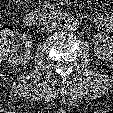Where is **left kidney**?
Returning <instances> with one entry per match:
<instances>
[{
    "instance_id": "5707ae66",
    "label": "left kidney",
    "mask_w": 113,
    "mask_h": 113,
    "mask_svg": "<svg viewBox=\"0 0 113 113\" xmlns=\"http://www.w3.org/2000/svg\"><path fill=\"white\" fill-rule=\"evenodd\" d=\"M101 43L105 46L103 49ZM94 53L102 60H113V36L107 34H96L94 40Z\"/></svg>"
}]
</instances>
